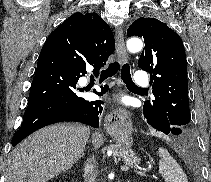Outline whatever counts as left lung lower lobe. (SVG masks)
Listing matches in <instances>:
<instances>
[{
  "mask_svg": "<svg viewBox=\"0 0 211 182\" xmlns=\"http://www.w3.org/2000/svg\"><path fill=\"white\" fill-rule=\"evenodd\" d=\"M158 131H162L165 134H173V135H180L179 141L182 144H189L190 138L187 130L181 127L172 126L170 123L166 122L161 127H159Z\"/></svg>",
  "mask_w": 211,
  "mask_h": 182,
  "instance_id": "0a47b994",
  "label": "left lung lower lobe"
}]
</instances>
